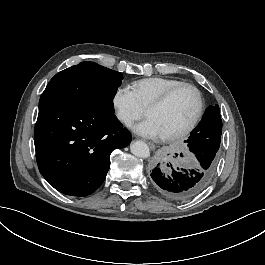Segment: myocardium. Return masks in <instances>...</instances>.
<instances>
[{
    "label": "myocardium",
    "mask_w": 265,
    "mask_h": 265,
    "mask_svg": "<svg viewBox=\"0 0 265 265\" xmlns=\"http://www.w3.org/2000/svg\"><path fill=\"white\" fill-rule=\"evenodd\" d=\"M186 89L191 90L196 96V99H197L196 113H195L192 121L184 129H182L181 131H179L177 133L164 136L165 140L174 141V140H179V139L185 138L196 128V126L200 122V120L203 116V113H204V99H203L201 91L193 84L184 83V84L179 85V86L171 89L170 91H168L166 94H164L161 98H159L156 102L151 104L146 109V114H147V112H149L151 110L161 109L164 106H166L178 93H180L181 91L186 90Z\"/></svg>",
    "instance_id": "obj_1"
}]
</instances>
